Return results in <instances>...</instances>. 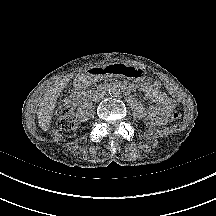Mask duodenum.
<instances>
[{"label": "duodenum", "mask_w": 216, "mask_h": 216, "mask_svg": "<svg viewBox=\"0 0 216 216\" xmlns=\"http://www.w3.org/2000/svg\"><path fill=\"white\" fill-rule=\"evenodd\" d=\"M107 73V68H96L89 71V74L91 76H102ZM107 89V87H99L92 91H86V92H78L73 95L71 98V104L72 105H78L88 99L94 98L95 96L102 95L104 91ZM124 90L129 91V87H125Z\"/></svg>", "instance_id": "1"}]
</instances>
